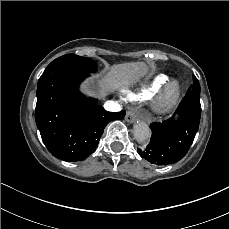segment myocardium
<instances>
[{
  "mask_svg": "<svg viewBox=\"0 0 229 229\" xmlns=\"http://www.w3.org/2000/svg\"><path fill=\"white\" fill-rule=\"evenodd\" d=\"M182 85L179 81H172L160 97L157 109L161 113L170 111L182 95Z\"/></svg>",
  "mask_w": 229,
  "mask_h": 229,
  "instance_id": "obj_1",
  "label": "myocardium"
}]
</instances>
